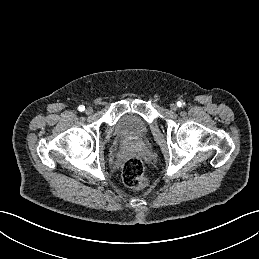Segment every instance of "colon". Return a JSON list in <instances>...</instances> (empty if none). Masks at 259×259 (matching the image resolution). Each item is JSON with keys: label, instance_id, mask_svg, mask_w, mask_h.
Wrapping results in <instances>:
<instances>
[{"label": "colon", "instance_id": "1", "mask_svg": "<svg viewBox=\"0 0 259 259\" xmlns=\"http://www.w3.org/2000/svg\"><path fill=\"white\" fill-rule=\"evenodd\" d=\"M122 178L124 183L131 188L140 189L148 185L143 163L137 157H130L125 161L122 168Z\"/></svg>", "mask_w": 259, "mask_h": 259}]
</instances>
